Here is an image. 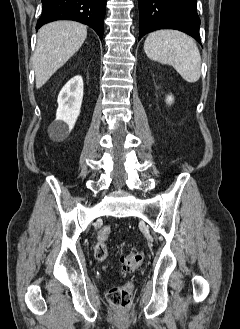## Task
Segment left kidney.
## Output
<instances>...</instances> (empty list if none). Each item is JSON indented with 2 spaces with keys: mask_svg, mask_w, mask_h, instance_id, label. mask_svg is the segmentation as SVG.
<instances>
[{
  "mask_svg": "<svg viewBox=\"0 0 240 329\" xmlns=\"http://www.w3.org/2000/svg\"><path fill=\"white\" fill-rule=\"evenodd\" d=\"M166 101H167V103H172V101H173V98H172V96H168L167 97V99H166Z\"/></svg>",
  "mask_w": 240,
  "mask_h": 329,
  "instance_id": "1",
  "label": "left kidney"
}]
</instances>
